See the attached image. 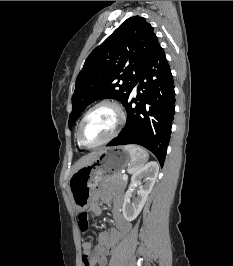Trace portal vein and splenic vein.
<instances>
[{
	"mask_svg": "<svg viewBox=\"0 0 233 266\" xmlns=\"http://www.w3.org/2000/svg\"><path fill=\"white\" fill-rule=\"evenodd\" d=\"M122 179L123 180H127L128 179V176L126 174H123Z\"/></svg>",
	"mask_w": 233,
	"mask_h": 266,
	"instance_id": "portal-vein-and-splenic-vein-1",
	"label": "portal vein and splenic vein"
}]
</instances>
